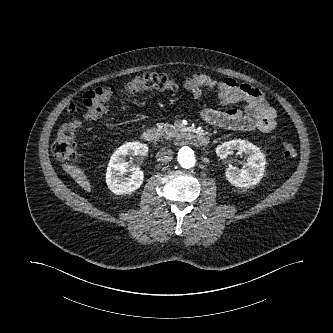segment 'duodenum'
Here are the masks:
<instances>
[{"label": "duodenum", "mask_w": 333, "mask_h": 333, "mask_svg": "<svg viewBox=\"0 0 333 333\" xmlns=\"http://www.w3.org/2000/svg\"><path fill=\"white\" fill-rule=\"evenodd\" d=\"M156 138L157 132L153 129H149L142 134V139L145 142H153L156 140ZM178 139L185 142L186 144L199 147L206 146L209 143L208 136L187 130L180 132Z\"/></svg>", "instance_id": "obj_1"}]
</instances>
